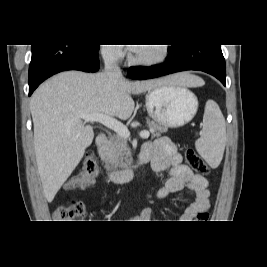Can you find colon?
<instances>
[{
	"label": "colon",
	"mask_w": 267,
	"mask_h": 267,
	"mask_svg": "<svg viewBox=\"0 0 267 267\" xmlns=\"http://www.w3.org/2000/svg\"><path fill=\"white\" fill-rule=\"evenodd\" d=\"M185 159L189 167L199 175H207L209 173L208 166L204 160L192 149L185 151ZM97 172V163L94 155L89 152L83 158L82 169L75 177L80 183H86ZM86 214V206L82 201H72L66 206H60L54 211L55 222L74 223L79 222ZM209 215L207 212H201L198 216L199 222H206Z\"/></svg>",
	"instance_id": "1"
}]
</instances>
